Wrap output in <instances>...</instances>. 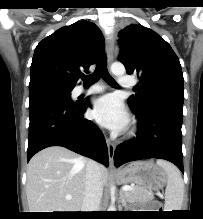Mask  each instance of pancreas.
<instances>
[{
  "label": "pancreas",
  "mask_w": 203,
  "mask_h": 219,
  "mask_svg": "<svg viewBox=\"0 0 203 219\" xmlns=\"http://www.w3.org/2000/svg\"><path fill=\"white\" fill-rule=\"evenodd\" d=\"M124 197L128 202H148L154 199L152 193L138 186L133 187L132 190L124 191Z\"/></svg>",
  "instance_id": "cf45deb5"
}]
</instances>
